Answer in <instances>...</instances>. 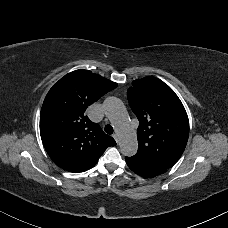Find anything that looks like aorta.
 <instances>
[{
    "label": "aorta",
    "mask_w": 228,
    "mask_h": 228,
    "mask_svg": "<svg viewBox=\"0 0 228 228\" xmlns=\"http://www.w3.org/2000/svg\"><path fill=\"white\" fill-rule=\"evenodd\" d=\"M104 111L116 128L119 137V146L123 155L133 156L137 152V134L131 126L123 102L116 97H109L103 103Z\"/></svg>",
    "instance_id": "762f6f07"
}]
</instances>
